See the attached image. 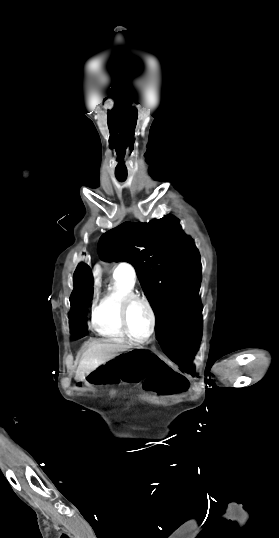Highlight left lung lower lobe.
I'll list each match as a JSON object with an SVG mask.
<instances>
[{
  "label": "left lung lower lobe",
  "mask_w": 279,
  "mask_h": 538,
  "mask_svg": "<svg viewBox=\"0 0 279 538\" xmlns=\"http://www.w3.org/2000/svg\"><path fill=\"white\" fill-rule=\"evenodd\" d=\"M201 335L202 322L181 332H156V338L167 357L179 365L182 371L192 375H195L192 361Z\"/></svg>",
  "instance_id": "0a47b994"
}]
</instances>
